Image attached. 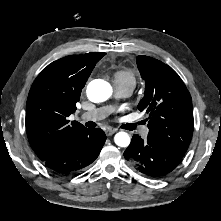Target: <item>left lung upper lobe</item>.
<instances>
[{
  "label": "left lung upper lobe",
  "mask_w": 221,
  "mask_h": 221,
  "mask_svg": "<svg viewBox=\"0 0 221 221\" xmlns=\"http://www.w3.org/2000/svg\"><path fill=\"white\" fill-rule=\"evenodd\" d=\"M145 80V95L138 104L148 117V137L184 156L193 134L192 99L179 75L168 65L149 56L137 57Z\"/></svg>",
  "instance_id": "5c2ea615"
}]
</instances>
